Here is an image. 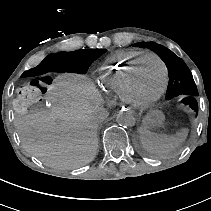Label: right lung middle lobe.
Masks as SVG:
<instances>
[{"label": "right lung middle lobe", "instance_id": "right-lung-middle-lobe-1", "mask_svg": "<svg viewBox=\"0 0 211 211\" xmlns=\"http://www.w3.org/2000/svg\"><path fill=\"white\" fill-rule=\"evenodd\" d=\"M106 52L105 49H87L84 53V68L81 73H86L91 63Z\"/></svg>", "mask_w": 211, "mask_h": 211}]
</instances>
